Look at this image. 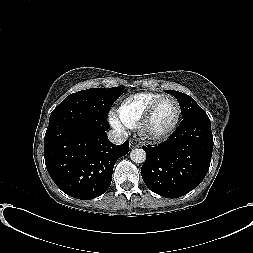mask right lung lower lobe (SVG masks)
Returning <instances> with one entry per match:
<instances>
[{
	"instance_id": "right-lung-lower-lobe-1",
	"label": "right lung lower lobe",
	"mask_w": 253,
	"mask_h": 253,
	"mask_svg": "<svg viewBox=\"0 0 253 253\" xmlns=\"http://www.w3.org/2000/svg\"><path fill=\"white\" fill-rule=\"evenodd\" d=\"M103 118L85 108L54 109L44 138L45 164L56 185L67 195L93 199L111 184L117 159L129 152V142L111 143Z\"/></svg>"
}]
</instances>
